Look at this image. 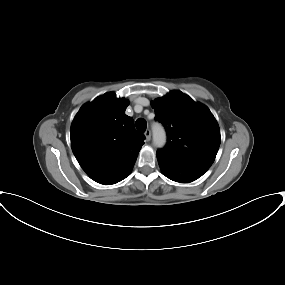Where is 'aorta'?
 Here are the masks:
<instances>
[{
	"instance_id": "aorta-1",
	"label": "aorta",
	"mask_w": 285,
	"mask_h": 285,
	"mask_svg": "<svg viewBox=\"0 0 285 285\" xmlns=\"http://www.w3.org/2000/svg\"><path fill=\"white\" fill-rule=\"evenodd\" d=\"M152 131L154 146L157 148H162L166 143V133L164 128L159 124H155L152 127Z\"/></svg>"
}]
</instances>
